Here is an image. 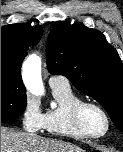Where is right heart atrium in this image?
I'll list each match as a JSON object with an SVG mask.
<instances>
[{"label": "right heart atrium", "mask_w": 123, "mask_h": 152, "mask_svg": "<svg viewBox=\"0 0 123 152\" xmlns=\"http://www.w3.org/2000/svg\"><path fill=\"white\" fill-rule=\"evenodd\" d=\"M21 120L24 129L29 132H36L43 128L44 113L35 98H26L21 112Z\"/></svg>", "instance_id": "right-heart-atrium-1"}]
</instances>
